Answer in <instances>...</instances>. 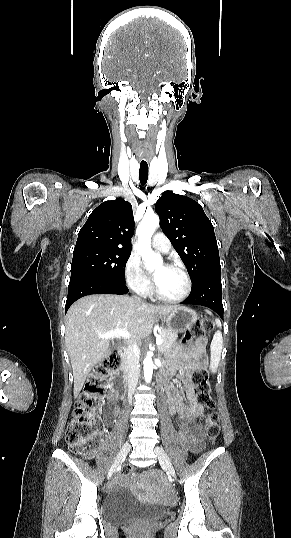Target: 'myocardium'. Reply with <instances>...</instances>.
Returning <instances> with one entry per match:
<instances>
[{"mask_svg":"<svg viewBox=\"0 0 291 538\" xmlns=\"http://www.w3.org/2000/svg\"><path fill=\"white\" fill-rule=\"evenodd\" d=\"M166 266L169 267V268H172V269H175V270L179 271L183 275V277L185 279V283H186L184 292L181 295L177 296V297H167V296L163 295L159 291L155 281L153 282V285H152V292L161 301L168 302V303L182 302V301H184L185 299L188 298V296L190 295V293L192 291L191 277H190L189 273L187 272V270L179 263H176V262L167 263Z\"/></svg>","mask_w":291,"mask_h":538,"instance_id":"myocardium-1","label":"myocardium"}]
</instances>
